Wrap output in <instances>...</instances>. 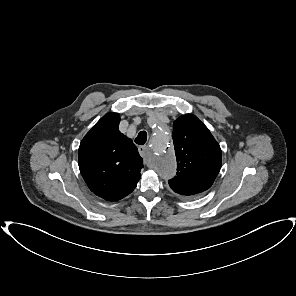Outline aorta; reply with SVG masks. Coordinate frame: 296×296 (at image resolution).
I'll return each instance as SVG.
<instances>
[{
	"label": "aorta",
	"mask_w": 296,
	"mask_h": 296,
	"mask_svg": "<svg viewBox=\"0 0 296 296\" xmlns=\"http://www.w3.org/2000/svg\"><path fill=\"white\" fill-rule=\"evenodd\" d=\"M170 131L161 121L154 127L152 139V160L157 173L167 179L175 175L176 160L169 150Z\"/></svg>",
	"instance_id": "762f6f07"
}]
</instances>
